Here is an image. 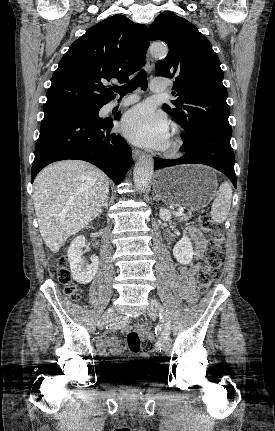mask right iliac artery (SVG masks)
I'll return each instance as SVG.
<instances>
[{
    "label": "right iliac artery",
    "instance_id": "obj_1",
    "mask_svg": "<svg viewBox=\"0 0 275 431\" xmlns=\"http://www.w3.org/2000/svg\"><path fill=\"white\" fill-rule=\"evenodd\" d=\"M129 322H130L129 319L125 318L121 321H118L114 324H111L110 327L113 329H121V328L125 327Z\"/></svg>",
    "mask_w": 275,
    "mask_h": 431
}]
</instances>
